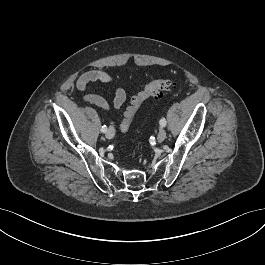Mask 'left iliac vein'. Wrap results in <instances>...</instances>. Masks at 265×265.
I'll use <instances>...</instances> for the list:
<instances>
[{
  "mask_svg": "<svg viewBox=\"0 0 265 265\" xmlns=\"http://www.w3.org/2000/svg\"><path fill=\"white\" fill-rule=\"evenodd\" d=\"M166 130L164 128H161L158 135H157V141L160 143V142H163L166 138Z\"/></svg>",
  "mask_w": 265,
  "mask_h": 265,
  "instance_id": "left-iliac-vein-1",
  "label": "left iliac vein"
}]
</instances>
